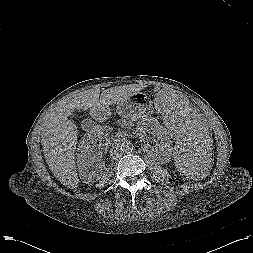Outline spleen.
Returning a JSON list of instances; mask_svg holds the SVG:
<instances>
[{"label": "spleen", "instance_id": "obj_1", "mask_svg": "<svg viewBox=\"0 0 253 253\" xmlns=\"http://www.w3.org/2000/svg\"><path fill=\"white\" fill-rule=\"evenodd\" d=\"M154 109L172 137L182 175L191 183L207 180L217 161L216 144L208 126L175 89L158 92Z\"/></svg>", "mask_w": 253, "mask_h": 253}]
</instances>
